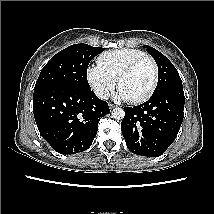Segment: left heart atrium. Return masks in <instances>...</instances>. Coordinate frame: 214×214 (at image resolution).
<instances>
[{
    "mask_svg": "<svg viewBox=\"0 0 214 214\" xmlns=\"http://www.w3.org/2000/svg\"><path fill=\"white\" fill-rule=\"evenodd\" d=\"M117 96L121 100H130V98L126 95V93L121 89H119Z\"/></svg>",
    "mask_w": 214,
    "mask_h": 214,
    "instance_id": "39dd6f15",
    "label": "left heart atrium"
}]
</instances>
